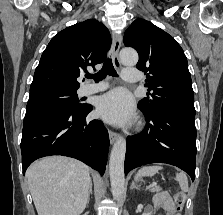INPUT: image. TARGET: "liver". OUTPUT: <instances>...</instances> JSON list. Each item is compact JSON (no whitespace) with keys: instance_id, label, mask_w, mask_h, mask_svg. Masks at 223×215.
<instances>
[{"instance_id":"liver-1","label":"liver","mask_w":223,"mask_h":215,"mask_svg":"<svg viewBox=\"0 0 223 215\" xmlns=\"http://www.w3.org/2000/svg\"><path fill=\"white\" fill-rule=\"evenodd\" d=\"M90 167L63 155L42 157L26 171L38 215H79L86 207Z\"/></svg>"}]
</instances>
